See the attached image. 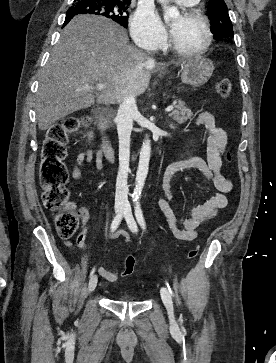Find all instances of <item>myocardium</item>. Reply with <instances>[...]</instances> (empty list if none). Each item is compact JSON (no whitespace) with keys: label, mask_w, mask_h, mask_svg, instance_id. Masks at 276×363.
Returning a JSON list of instances; mask_svg holds the SVG:
<instances>
[{"label":"myocardium","mask_w":276,"mask_h":363,"mask_svg":"<svg viewBox=\"0 0 276 363\" xmlns=\"http://www.w3.org/2000/svg\"><path fill=\"white\" fill-rule=\"evenodd\" d=\"M185 16L191 19H195L200 21L204 28H205V32H206V40L204 45L196 50H187L184 48H181L174 40L173 36L170 39V46L171 49L176 52L177 54L184 56V57H200L202 55H204L211 47L212 43H213V32L211 29V25L210 22L208 20V18L202 14L200 11L195 10V9H190L187 10L185 12Z\"/></svg>","instance_id":"1"}]
</instances>
